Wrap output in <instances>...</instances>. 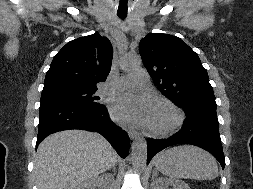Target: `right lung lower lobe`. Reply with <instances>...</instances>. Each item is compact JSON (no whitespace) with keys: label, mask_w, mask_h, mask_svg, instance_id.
<instances>
[{"label":"right lung lower lobe","mask_w":253,"mask_h":189,"mask_svg":"<svg viewBox=\"0 0 253 189\" xmlns=\"http://www.w3.org/2000/svg\"><path fill=\"white\" fill-rule=\"evenodd\" d=\"M66 129L96 131L111 143L122 158L128 155L129 137L109 119L105 106L90 107L63 102L41 103L36 148L49 134Z\"/></svg>","instance_id":"right-lung-lower-lobe-1"}]
</instances>
